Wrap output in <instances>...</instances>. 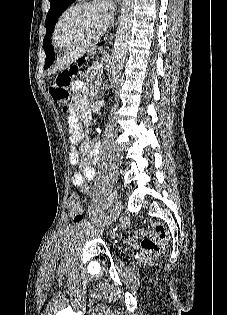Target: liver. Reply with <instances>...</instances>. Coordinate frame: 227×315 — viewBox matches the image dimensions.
<instances>
[{
  "instance_id": "6515ba94",
  "label": "liver",
  "mask_w": 227,
  "mask_h": 315,
  "mask_svg": "<svg viewBox=\"0 0 227 315\" xmlns=\"http://www.w3.org/2000/svg\"><path fill=\"white\" fill-rule=\"evenodd\" d=\"M82 54H70L67 56H64L57 60L56 65L53 67V69L49 72L50 74L57 70H63L67 68L73 61L78 59Z\"/></svg>"
}]
</instances>
